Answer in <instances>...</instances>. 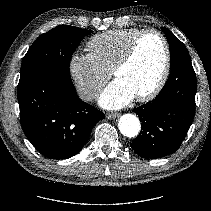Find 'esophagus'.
<instances>
[{
	"instance_id": "esophagus-1",
	"label": "esophagus",
	"mask_w": 211,
	"mask_h": 211,
	"mask_svg": "<svg viewBox=\"0 0 211 211\" xmlns=\"http://www.w3.org/2000/svg\"><path fill=\"white\" fill-rule=\"evenodd\" d=\"M119 113H116V112H109V113H107V118L108 119H115V118H117V117H119Z\"/></svg>"
}]
</instances>
